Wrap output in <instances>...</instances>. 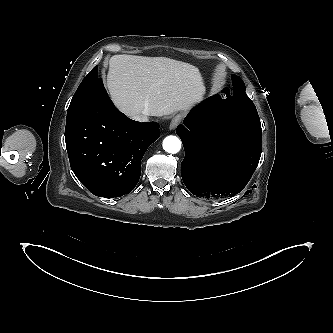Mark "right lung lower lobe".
<instances>
[{
  "mask_svg": "<svg viewBox=\"0 0 333 333\" xmlns=\"http://www.w3.org/2000/svg\"><path fill=\"white\" fill-rule=\"evenodd\" d=\"M160 136L156 122H137L121 113L98 85L82 109L66 119L65 141L71 169L94 195L120 197L141 174L147 148Z\"/></svg>",
  "mask_w": 333,
  "mask_h": 333,
  "instance_id": "obj_1",
  "label": "right lung lower lobe"
}]
</instances>
